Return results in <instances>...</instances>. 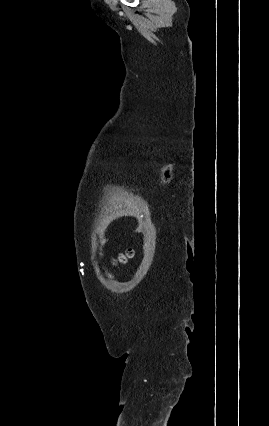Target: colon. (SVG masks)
Instances as JSON below:
<instances>
[{
	"instance_id": "5ec220e1",
	"label": "colon",
	"mask_w": 269,
	"mask_h": 426,
	"mask_svg": "<svg viewBox=\"0 0 269 426\" xmlns=\"http://www.w3.org/2000/svg\"><path fill=\"white\" fill-rule=\"evenodd\" d=\"M134 257V252L132 250H128L123 254H120L117 258H116V262L117 263H126L129 260H131Z\"/></svg>"
}]
</instances>
